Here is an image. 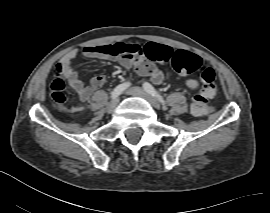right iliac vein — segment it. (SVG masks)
Returning <instances> with one entry per match:
<instances>
[{"label":"right iliac vein","mask_w":270,"mask_h":213,"mask_svg":"<svg viewBox=\"0 0 270 213\" xmlns=\"http://www.w3.org/2000/svg\"><path fill=\"white\" fill-rule=\"evenodd\" d=\"M118 102H119V98L113 99V100L107 105V108H106L107 112H108V113L113 112V111L115 110V108H116Z\"/></svg>","instance_id":"63e3f726"}]
</instances>
